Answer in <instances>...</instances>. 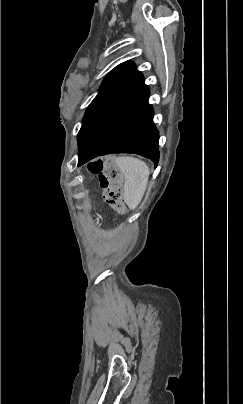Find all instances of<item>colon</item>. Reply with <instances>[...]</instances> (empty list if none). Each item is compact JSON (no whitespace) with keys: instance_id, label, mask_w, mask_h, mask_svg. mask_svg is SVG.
<instances>
[{"instance_id":"1","label":"colon","mask_w":243,"mask_h":404,"mask_svg":"<svg viewBox=\"0 0 243 404\" xmlns=\"http://www.w3.org/2000/svg\"><path fill=\"white\" fill-rule=\"evenodd\" d=\"M89 171L98 175L105 200L115 209H123V178L119 166L113 159L96 161Z\"/></svg>"}]
</instances>
